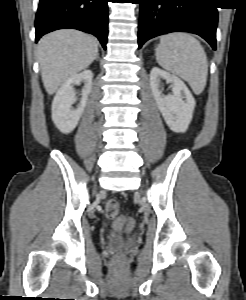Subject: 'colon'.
<instances>
[{"label":"colon","instance_id":"1","mask_svg":"<svg viewBox=\"0 0 246 300\" xmlns=\"http://www.w3.org/2000/svg\"><path fill=\"white\" fill-rule=\"evenodd\" d=\"M105 214L113 220L114 228L118 231H130L134 226V220L130 217L119 215V203L115 199H110L105 203ZM120 257L118 256L117 259Z\"/></svg>","mask_w":246,"mask_h":300}]
</instances>
